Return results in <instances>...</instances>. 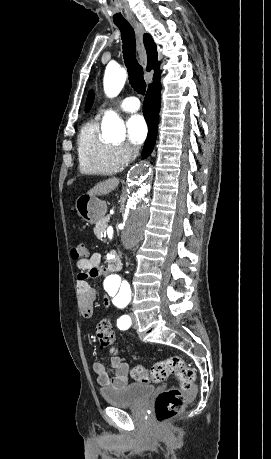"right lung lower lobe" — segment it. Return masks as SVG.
I'll use <instances>...</instances> for the list:
<instances>
[{
	"label": "right lung lower lobe",
	"instance_id": "right-lung-lower-lobe-1",
	"mask_svg": "<svg viewBox=\"0 0 271 459\" xmlns=\"http://www.w3.org/2000/svg\"><path fill=\"white\" fill-rule=\"evenodd\" d=\"M160 90L161 85L159 77L148 86V90L144 99L143 112L148 123L149 132L143 147V158H146L150 155L156 142V136L158 132L159 111L161 104Z\"/></svg>",
	"mask_w": 271,
	"mask_h": 459
}]
</instances>
